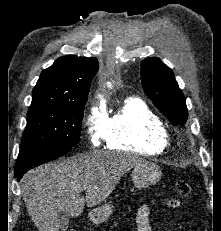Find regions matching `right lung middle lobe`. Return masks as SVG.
Here are the masks:
<instances>
[{"instance_id": "obj_1", "label": "right lung middle lobe", "mask_w": 221, "mask_h": 231, "mask_svg": "<svg viewBox=\"0 0 221 231\" xmlns=\"http://www.w3.org/2000/svg\"><path fill=\"white\" fill-rule=\"evenodd\" d=\"M86 101L30 106L16 165L44 153L70 150L79 143Z\"/></svg>"}]
</instances>
